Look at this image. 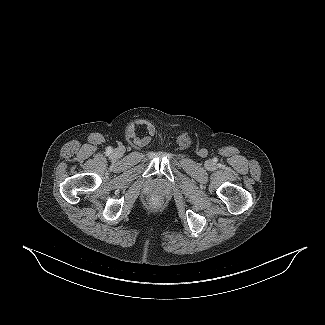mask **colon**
<instances>
[{
    "label": "colon",
    "mask_w": 325,
    "mask_h": 325,
    "mask_svg": "<svg viewBox=\"0 0 325 325\" xmlns=\"http://www.w3.org/2000/svg\"><path fill=\"white\" fill-rule=\"evenodd\" d=\"M151 204H153V205H157V204H158V200H156V199H152V200H151Z\"/></svg>",
    "instance_id": "1"
}]
</instances>
